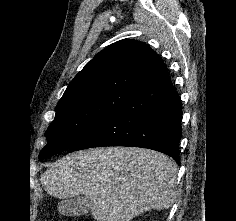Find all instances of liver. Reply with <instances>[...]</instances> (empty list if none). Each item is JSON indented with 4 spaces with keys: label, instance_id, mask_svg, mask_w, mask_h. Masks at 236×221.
Returning a JSON list of instances; mask_svg holds the SVG:
<instances>
[{
    "label": "liver",
    "instance_id": "liver-1",
    "mask_svg": "<svg viewBox=\"0 0 236 221\" xmlns=\"http://www.w3.org/2000/svg\"><path fill=\"white\" fill-rule=\"evenodd\" d=\"M178 168L167 155L132 147L93 148L61 158L41 176L55 198L83 195L96 221H130L175 201Z\"/></svg>",
    "mask_w": 236,
    "mask_h": 221
}]
</instances>
